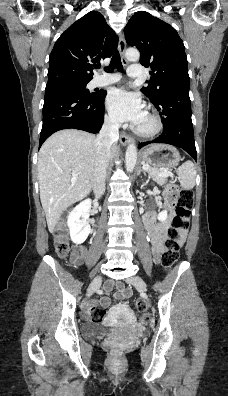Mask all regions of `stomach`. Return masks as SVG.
Masks as SVG:
<instances>
[{
  "label": "stomach",
  "mask_w": 228,
  "mask_h": 396,
  "mask_svg": "<svg viewBox=\"0 0 228 396\" xmlns=\"http://www.w3.org/2000/svg\"><path fill=\"white\" fill-rule=\"evenodd\" d=\"M140 157L153 167L168 169L175 168L181 160L178 150L168 144H154L146 147L141 150Z\"/></svg>",
  "instance_id": "stomach-1"
}]
</instances>
